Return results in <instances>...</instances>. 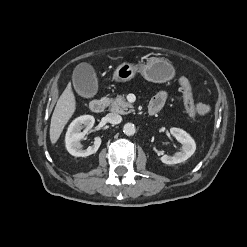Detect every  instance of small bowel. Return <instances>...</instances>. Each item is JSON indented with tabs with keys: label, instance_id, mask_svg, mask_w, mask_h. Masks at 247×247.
<instances>
[{
	"label": "small bowel",
	"instance_id": "small-bowel-1",
	"mask_svg": "<svg viewBox=\"0 0 247 247\" xmlns=\"http://www.w3.org/2000/svg\"><path fill=\"white\" fill-rule=\"evenodd\" d=\"M168 92L167 91H159L150 101L149 108L153 109L157 112H159L163 106L165 105L167 99H168ZM197 108L199 110L200 115H204L209 111L208 105L205 103L199 102L197 104Z\"/></svg>",
	"mask_w": 247,
	"mask_h": 247
}]
</instances>
